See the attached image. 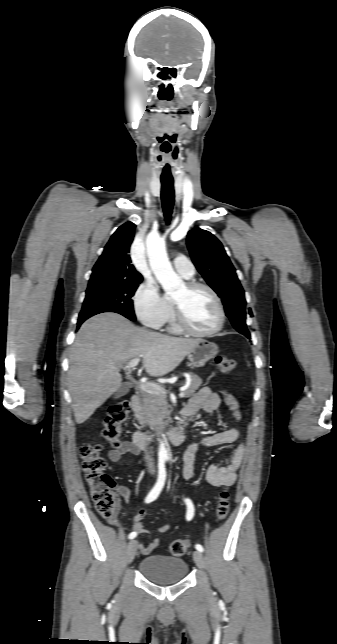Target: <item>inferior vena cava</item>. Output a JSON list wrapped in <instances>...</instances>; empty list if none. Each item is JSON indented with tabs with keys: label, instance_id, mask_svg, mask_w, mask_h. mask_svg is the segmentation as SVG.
Masks as SVG:
<instances>
[{
	"label": "inferior vena cava",
	"instance_id": "1",
	"mask_svg": "<svg viewBox=\"0 0 337 644\" xmlns=\"http://www.w3.org/2000/svg\"><path fill=\"white\" fill-rule=\"evenodd\" d=\"M145 460H146V462H147V465H148L149 471H150L151 473H154V464H153V459H152V457L149 455V453H148L147 451L145 452Z\"/></svg>",
	"mask_w": 337,
	"mask_h": 644
}]
</instances>
